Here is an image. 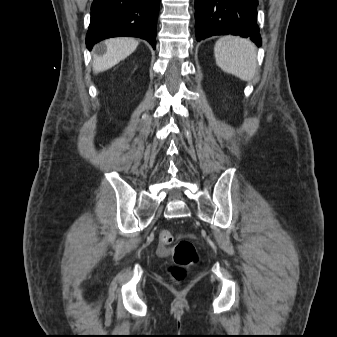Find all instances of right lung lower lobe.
Segmentation results:
<instances>
[{"label":"right lung lower lobe","mask_w":337,"mask_h":337,"mask_svg":"<svg viewBox=\"0 0 337 337\" xmlns=\"http://www.w3.org/2000/svg\"><path fill=\"white\" fill-rule=\"evenodd\" d=\"M160 0H94L86 35L89 50L97 42L117 36L147 40L156 48V28Z\"/></svg>","instance_id":"1"}]
</instances>
